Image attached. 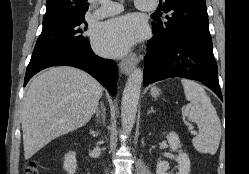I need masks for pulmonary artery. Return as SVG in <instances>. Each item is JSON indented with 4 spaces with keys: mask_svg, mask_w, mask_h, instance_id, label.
<instances>
[{
    "mask_svg": "<svg viewBox=\"0 0 249 174\" xmlns=\"http://www.w3.org/2000/svg\"><path fill=\"white\" fill-rule=\"evenodd\" d=\"M100 7L93 13L96 19L115 15L122 11V6L111 0H99ZM136 8L143 12H152L155 8L154 0H135Z\"/></svg>",
    "mask_w": 249,
    "mask_h": 174,
    "instance_id": "1",
    "label": "pulmonary artery"
}]
</instances>
